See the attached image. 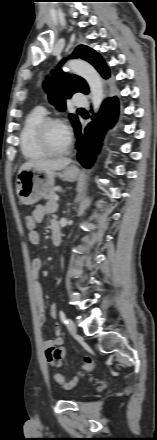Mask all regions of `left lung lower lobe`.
<instances>
[{
    "label": "left lung lower lobe",
    "mask_w": 157,
    "mask_h": 440,
    "mask_svg": "<svg viewBox=\"0 0 157 440\" xmlns=\"http://www.w3.org/2000/svg\"><path fill=\"white\" fill-rule=\"evenodd\" d=\"M119 102L117 97L106 99L97 115L93 116L84 129L80 123L74 128L77 138V160L85 168H89L99 153L102 140L109 128H112L117 121Z\"/></svg>",
    "instance_id": "1"
}]
</instances>
